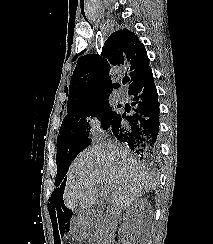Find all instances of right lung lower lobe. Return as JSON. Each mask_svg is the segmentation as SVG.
<instances>
[{
  "instance_id": "98d812e1",
  "label": "right lung lower lobe",
  "mask_w": 213,
  "mask_h": 244,
  "mask_svg": "<svg viewBox=\"0 0 213 244\" xmlns=\"http://www.w3.org/2000/svg\"><path fill=\"white\" fill-rule=\"evenodd\" d=\"M128 93L134 113H116L109 128L140 159L153 161L159 154V105L151 69Z\"/></svg>"
}]
</instances>
